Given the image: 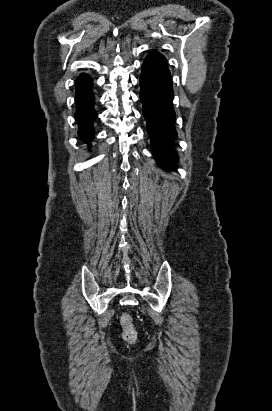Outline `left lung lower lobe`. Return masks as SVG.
<instances>
[{
    "instance_id": "0a47b994",
    "label": "left lung lower lobe",
    "mask_w": 272,
    "mask_h": 411,
    "mask_svg": "<svg viewBox=\"0 0 272 411\" xmlns=\"http://www.w3.org/2000/svg\"><path fill=\"white\" fill-rule=\"evenodd\" d=\"M140 86V100L153 156L160 167L173 170L177 161L174 150L177 131L172 79L166 58L156 50H151L143 62Z\"/></svg>"
}]
</instances>
